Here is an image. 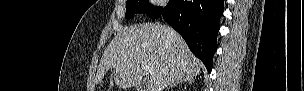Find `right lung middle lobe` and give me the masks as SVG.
Masks as SVG:
<instances>
[{
    "label": "right lung middle lobe",
    "mask_w": 304,
    "mask_h": 91,
    "mask_svg": "<svg viewBox=\"0 0 304 91\" xmlns=\"http://www.w3.org/2000/svg\"><path fill=\"white\" fill-rule=\"evenodd\" d=\"M162 7H156L149 3L148 0H127L126 19L133 18L135 13H145L148 17L156 19L163 12Z\"/></svg>",
    "instance_id": "obj_1"
}]
</instances>
